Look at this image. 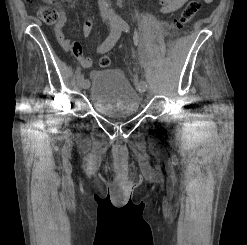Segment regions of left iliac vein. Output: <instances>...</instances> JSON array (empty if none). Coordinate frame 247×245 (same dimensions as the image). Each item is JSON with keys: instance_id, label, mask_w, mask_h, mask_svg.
<instances>
[{"instance_id": "left-iliac-vein-1", "label": "left iliac vein", "mask_w": 247, "mask_h": 245, "mask_svg": "<svg viewBox=\"0 0 247 245\" xmlns=\"http://www.w3.org/2000/svg\"><path fill=\"white\" fill-rule=\"evenodd\" d=\"M137 88L139 89V91L141 93H144L147 89V86L141 85V84H137Z\"/></svg>"}]
</instances>
